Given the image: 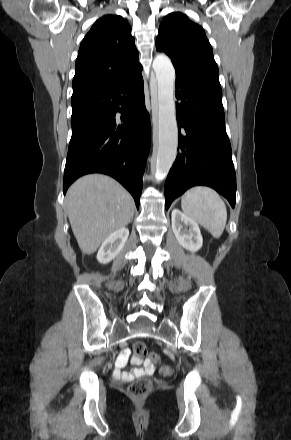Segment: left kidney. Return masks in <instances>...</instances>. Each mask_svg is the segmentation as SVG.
<instances>
[{
  "label": "left kidney",
  "mask_w": 291,
  "mask_h": 440,
  "mask_svg": "<svg viewBox=\"0 0 291 440\" xmlns=\"http://www.w3.org/2000/svg\"><path fill=\"white\" fill-rule=\"evenodd\" d=\"M171 218L172 230L178 243L186 250L198 251L203 245V238L197 222L179 209H173Z\"/></svg>",
  "instance_id": "obj_1"
}]
</instances>
